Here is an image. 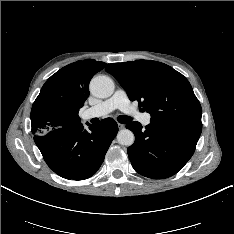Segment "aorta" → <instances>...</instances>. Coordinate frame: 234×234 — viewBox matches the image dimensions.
<instances>
[{
    "label": "aorta",
    "mask_w": 234,
    "mask_h": 234,
    "mask_svg": "<svg viewBox=\"0 0 234 234\" xmlns=\"http://www.w3.org/2000/svg\"><path fill=\"white\" fill-rule=\"evenodd\" d=\"M90 91L98 98H108L114 92V82L108 76H96L90 82ZM134 140L133 132L128 129L120 130L117 134V141L120 145L131 146Z\"/></svg>",
    "instance_id": "obj_1"
}]
</instances>
